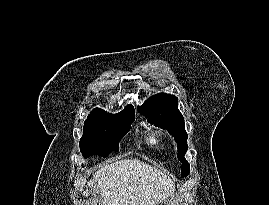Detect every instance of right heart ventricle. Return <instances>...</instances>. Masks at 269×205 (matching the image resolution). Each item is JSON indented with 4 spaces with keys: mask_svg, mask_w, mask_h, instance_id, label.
Returning <instances> with one entry per match:
<instances>
[{
    "mask_svg": "<svg viewBox=\"0 0 269 205\" xmlns=\"http://www.w3.org/2000/svg\"><path fill=\"white\" fill-rule=\"evenodd\" d=\"M147 142L151 147L158 148L162 144V139L157 135H151Z\"/></svg>",
    "mask_w": 269,
    "mask_h": 205,
    "instance_id": "e07e8e85",
    "label": "right heart ventricle"
}]
</instances>
